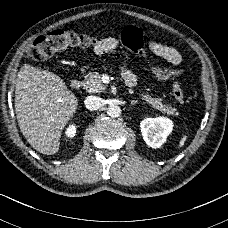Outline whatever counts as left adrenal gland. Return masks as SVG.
<instances>
[{"label":"left adrenal gland","instance_id":"a2214340","mask_svg":"<svg viewBox=\"0 0 228 228\" xmlns=\"http://www.w3.org/2000/svg\"><path fill=\"white\" fill-rule=\"evenodd\" d=\"M137 103H138V101H132V102L130 103V106L136 105Z\"/></svg>","mask_w":228,"mask_h":228}]
</instances>
